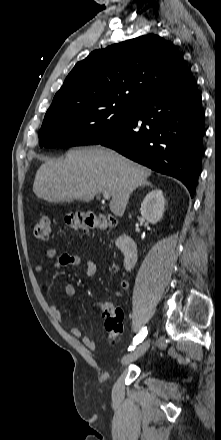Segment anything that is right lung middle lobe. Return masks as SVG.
<instances>
[{
	"instance_id": "obj_1",
	"label": "right lung middle lobe",
	"mask_w": 221,
	"mask_h": 440,
	"mask_svg": "<svg viewBox=\"0 0 221 440\" xmlns=\"http://www.w3.org/2000/svg\"><path fill=\"white\" fill-rule=\"evenodd\" d=\"M134 107L117 103L72 105L47 111L39 132V145L67 147L100 144L130 117Z\"/></svg>"
}]
</instances>
